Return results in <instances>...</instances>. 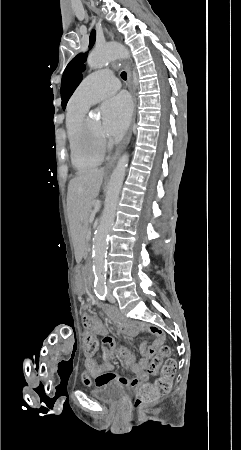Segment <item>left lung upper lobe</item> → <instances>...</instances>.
Wrapping results in <instances>:
<instances>
[{
	"instance_id": "1",
	"label": "left lung upper lobe",
	"mask_w": 241,
	"mask_h": 450,
	"mask_svg": "<svg viewBox=\"0 0 241 450\" xmlns=\"http://www.w3.org/2000/svg\"><path fill=\"white\" fill-rule=\"evenodd\" d=\"M95 37L96 33L93 30L90 35V43H89V49H91L95 43ZM88 53L84 54H78L75 56L67 65L63 76H62V83H61V98H62V107L65 109L66 104L77 88V86L82 81L83 75L82 72H84L86 66L85 62L87 59Z\"/></svg>"
}]
</instances>
